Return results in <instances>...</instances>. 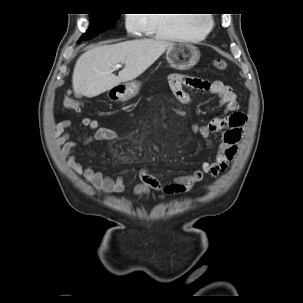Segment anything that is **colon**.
Here are the masks:
<instances>
[{
  "instance_id": "colon-1",
  "label": "colon",
  "mask_w": 303,
  "mask_h": 303,
  "mask_svg": "<svg viewBox=\"0 0 303 303\" xmlns=\"http://www.w3.org/2000/svg\"><path fill=\"white\" fill-rule=\"evenodd\" d=\"M213 65L218 70H225L227 68V62L224 59H215ZM66 105L74 110H80L81 106L77 101L68 100Z\"/></svg>"
}]
</instances>
